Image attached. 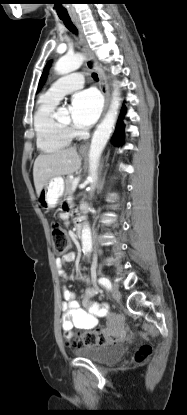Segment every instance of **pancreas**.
Returning a JSON list of instances; mask_svg holds the SVG:
<instances>
[{
    "label": "pancreas",
    "mask_w": 187,
    "mask_h": 415,
    "mask_svg": "<svg viewBox=\"0 0 187 415\" xmlns=\"http://www.w3.org/2000/svg\"><path fill=\"white\" fill-rule=\"evenodd\" d=\"M73 178H71L70 176H68L65 179V185H66V189H65V198H69L72 196L74 190L72 189V183H73Z\"/></svg>",
    "instance_id": "1"
}]
</instances>
